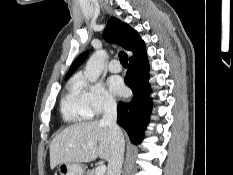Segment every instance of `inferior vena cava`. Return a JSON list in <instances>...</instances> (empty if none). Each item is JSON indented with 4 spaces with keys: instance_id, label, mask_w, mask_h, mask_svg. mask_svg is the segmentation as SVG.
<instances>
[{
    "instance_id": "obj_1",
    "label": "inferior vena cava",
    "mask_w": 233,
    "mask_h": 175,
    "mask_svg": "<svg viewBox=\"0 0 233 175\" xmlns=\"http://www.w3.org/2000/svg\"><path fill=\"white\" fill-rule=\"evenodd\" d=\"M117 104L114 99H107L104 105L102 124L108 125L112 140L111 156L108 161L107 175H120L125 151L124 136L117 124Z\"/></svg>"
}]
</instances>
